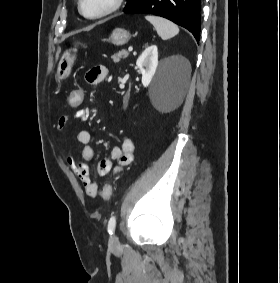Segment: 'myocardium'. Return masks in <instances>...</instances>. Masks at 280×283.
Masks as SVG:
<instances>
[{
  "label": "myocardium",
  "mask_w": 280,
  "mask_h": 283,
  "mask_svg": "<svg viewBox=\"0 0 280 283\" xmlns=\"http://www.w3.org/2000/svg\"><path fill=\"white\" fill-rule=\"evenodd\" d=\"M125 0H113L112 4L105 9L104 11L96 14V15H88L83 10V0H78V10L79 13L86 19L96 20L107 17L115 12H117L124 4Z\"/></svg>",
  "instance_id": "obj_1"
}]
</instances>
